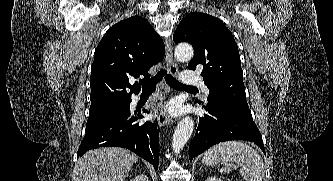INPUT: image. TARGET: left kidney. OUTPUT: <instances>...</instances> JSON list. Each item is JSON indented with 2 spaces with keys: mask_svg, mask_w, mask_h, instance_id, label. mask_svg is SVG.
I'll return each instance as SVG.
<instances>
[{
  "mask_svg": "<svg viewBox=\"0 0 333 181\" xmlns=\"http://www.w3.org/2000/svg\"><path fill=\"white\" fill-rule=\"evenodd\" d=\"M206 181H223L221 178H217L214 176L208 177Z\"/></svg>",
  "mask_w": 333,
  "mask_h": 181,
  "instance_id": "obj_1",
  "label": "left kidney"
}]
</instances>
